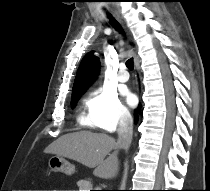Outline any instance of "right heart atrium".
Here are the masks:
<instances>
[{
  "label": "right heart atrium",
  "mask_w": 210,
  "mask_h": 191,
  "mask_svg": "<svg viewBox=\"0 0 210 191\" xmlns=\"http://www.w3.org/2000/svg\"><path fill=\"white\" fill-rule=\"evenodd\" d=\"M86 107L93 125L102 131L113 132L131 120L129 110L115 90L104 87L93 90L86 101Z\"/></svg>",
  "instance_id": "1"
}]
</instances>
